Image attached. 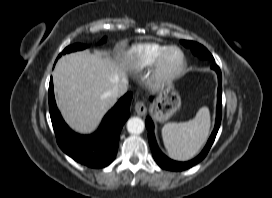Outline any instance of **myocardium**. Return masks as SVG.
I'll return each mask as SVG.
<instances>
[{"label": "myocardium", "mask_w": 272, "mask_h": 198, "mask_svg": "<svg viewBox=\"0 0 272 198\" xmlns=\"http://www.w3.org/2000/svg\"><path fill=\"white\" fill-rule=\"evenodd\" d=\"M178 51L181 54L180 65L173 71H169L166 68V61L171 52ZM186 56L184 51L177 46H170L167 48L155 63L151 72V80L155 85L164 86L169 85L179 79L186 68Z\"/></svg>", "instance_id": "1"}]
</instances>
